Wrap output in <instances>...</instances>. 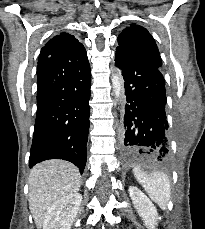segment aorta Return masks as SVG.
Segmentation results:
<instances>
[{"label": "aorta", "instance_id": "obj_1", "mask_svg": "<svg viewBox=\"0 0 205 229\" xmlns=\"http://www.w3.org/2000/svg\"><path fill=\"white\" fill-rule=\"evenodd\" d=\"M112 86H113L114 95L116 96L117 99H119L124 89V83L119 74H114L112 76Z\"/></svg>", "mask_w": 205, "mask_h": 229}]
</instances>
